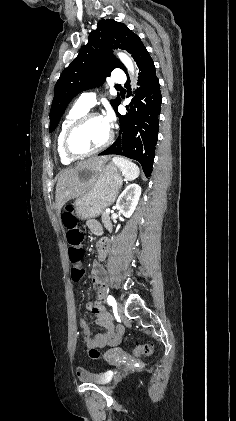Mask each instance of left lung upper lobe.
<instances>
[{"mask_svg":"<svg viewBox=\"0 0 236 421\" xmlns=\"http://www.w3.org/2000/svg\"><path fill=\"white\" fill-rule=\"evenodd\" d=\"M142 44L141 39L125 24L112 19L99 21L97 29L89 34L87 44L63 70L55 85L49 132L55 130L67 105L78 93L101 85L115 68L126 71L112 54V49H124L133 57ZM120 102L119 97L111 100L115 111Z\"/></svg>","mask_w":236,"mask_h":421,"instance_id":"obj_1","label":"left lung upper lobe"}]
</instances>
